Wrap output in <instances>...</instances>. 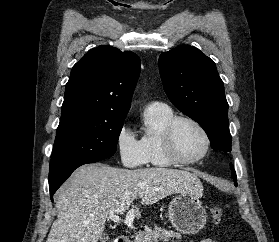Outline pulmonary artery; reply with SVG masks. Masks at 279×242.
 <instances>
[{
  "instance_id": "e3ab8cb5",
  "label": "pulmonary artery",
  "mask_w": 279,
  "mask_h": 242,
  "mask_svg": "<svg viewBox=\"0 0 279 242\" xmlns=\"http://www.w3.org/2000/svg\"><path fill=\"white\" fill-rule=\"evenodd\" d=\"M154 104H161V103H159V102H156V103H154Z\"/></svg>"
}]
</instances>
